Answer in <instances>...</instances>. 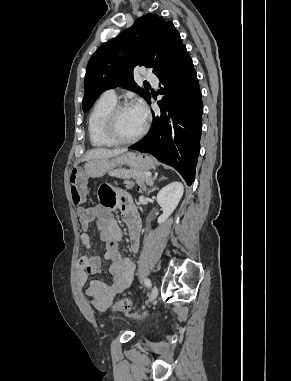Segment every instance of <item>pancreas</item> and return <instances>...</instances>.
I'll return each mask as SVG.
<instances>
[{
  "mask_svg": "<svg viewBox=\"0 0 291 381\" xmlns=\"http://www.w3.org/2000/svg\"><path fill=\"white\" fill-rule=\"evenodd\" d=\"M110 176L118 177L122 179H130L133 178L136 180V183L142 185L143 183L150 184L153 182L151 177L146 176V172L139 170H125V169H116L109 172Z\"/></svg>",
  "mask_w": 291,
  "mask_h": 381,
  "instance_id": "obj_1",
  "label": "pancreas"
}]
</instances>
